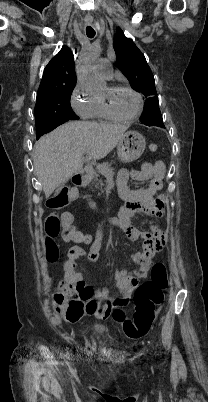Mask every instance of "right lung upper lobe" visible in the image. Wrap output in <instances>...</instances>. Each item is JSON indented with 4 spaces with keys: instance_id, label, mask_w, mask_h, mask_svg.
I'll return each instance as SVG.
<instances>
[{
    "instance_id": "cb5924a9",
    "label": "right lung upper lobe",
    "mask_w": 208,
    "mask_h": 402,
    "mask_svg": "<svg viewBox=\"0 0 208 402\" xmlns=\"http://www.w3.org/2000/svg\"><path fill=\"white\" fill-rule=\"evenodd\" d=\"M76 81L74 57L71 50L63 46L45 67L37 96L48 90L75 85Z\"/></svg>"
}]
</instances>
